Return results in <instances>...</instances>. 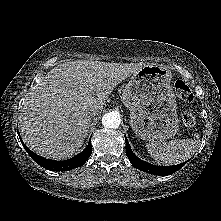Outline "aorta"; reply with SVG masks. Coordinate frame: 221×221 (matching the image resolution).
Masks as SVG:
<instances>
[{
  "mask_svg": "<svg viewBox=\"0 0 221 221\" xmlns=\"http://www.w3.org/2000/svg\"><path fill=\"white\" fill-rule=\"evenodd\" d=\"M120 123L121 118L117 112H109L102 117V124L106 128H118Z\"/></svg>",
  "mask_w": 221,
  "mask_h": 221,
  "instance_id": "762f6f07",
  "label": "aorta"
}]
</instances>
